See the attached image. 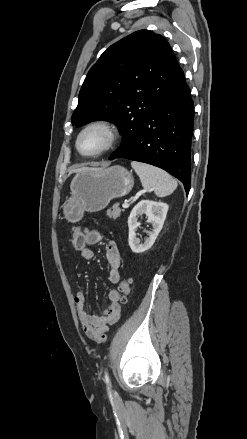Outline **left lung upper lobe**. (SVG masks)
<instances>
[{
	"label": "left lung upper lobe",
	"instance_id": "obj_1",
	"mask_svg": "<svg viewBox=\"0 0 247 439\" xmlns=\"http://www.w3.org/2000/svg\"><path fill=\"white\" fill-rule=\"evenodd\" d=\"M183 71L169 43L159 34L140 30L111 45L89 70L79 93L72 124L106 120L128 144L159 96Z\"/></svg>",
	"mask_w": 247,
	"mask_h": 439
}]
</instances>
